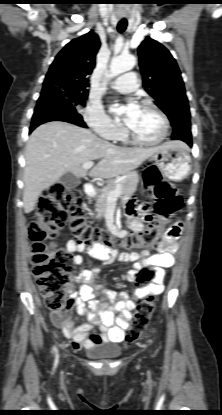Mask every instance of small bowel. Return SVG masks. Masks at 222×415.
Returning <instances> with one entry per match:
<instances>
[{"label": "small bowel", "mask_w": 222, "mask_h": 415, "mask_svg": "<svg viewBox=\"0 0 222 415\" xmlns=\"http://www.w3.org/2000/svg\"><path fill=\"white\" fill-rule=\"evenodd\" d=\"M126 214L132 229L138 231L143 229L142 223L135 218L134 206H128ZM182 231L183 224L181 222L173 225L156 246V253L143 250L121 253L117 256L108 255V258L116 257L121 262L133 264L126 276L128 281H134L143 268H152L151 281L135 288L132 292L104 289L95 280L98 268L80 270L77 277L79 285L70 293L67 305L61 310L50 312L51 322L71 341L73 349L79 350L123 342L124 332L129 325L136 301L146 296L160 295L164 291L165 269L175 264L173 253L178 250L177 239ZM66 248L72 253H77L74 256V262L77 265L83 261L79 253L86 251L93 253L92 250L76 244L72 240L66 243ZM72 309H75L85 319L80 322L72 319L70 317Z\"/></svg>", "instance_id": "small-bowel-1"}]
</instances>
